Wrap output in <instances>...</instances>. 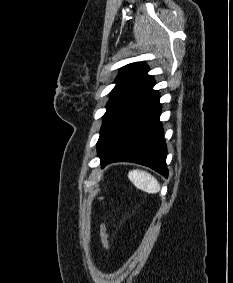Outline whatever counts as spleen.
Returning <instances> with one entry per match:
<instances>
[{
    "mask_svg": "<svg viewBox=\"0 0 233 283\" xmlns=\"http://www.w3.org/2000/svg\"><path fill=\"white\" fill-rule=\"evenodd\" d=\"M129 180L140 190L150 194L160 191V184L157 179L148 172L133 170L128 173Z\"/></svg>",
    "mask_w": 233,
    "mask_h": 283,
    "instance_id": "spleen-1",
    "label": "spleen"
}]
</instances>
